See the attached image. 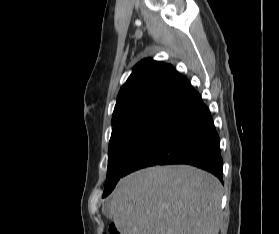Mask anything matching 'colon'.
<instances>
[{"mask_svg": "<svg viewBox=\"0 0 279 234\" xmlns=\"http://www.w3.org/2000/svg\"><path fill=\"white\" fill-rule=\"evenodd\" d=\"M109 233H110V234H121V233L119 232V230L117 229V227L114 226V225H112V226L109 228Z\"/></svg>", "mask_w": 279, "mask_h": 234, "instance_id": "colon-1", "label": "colon"}]
</instances>
